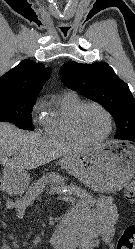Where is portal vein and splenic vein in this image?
I'll return each mask as SVG.
<instances>
[{
    "mask_svg": "<svg viewBox=\"0 0 135 249\" xmlns=\"http://www.w3.org/2000/svg\"><path fill=\"white\" fill-rule=\"evenodd\" d=\"M66 199L69 200V201H75L76 200L75 197H67Z\"/></svg>",
    "mask_w": 135,
    "mask_h": 249,
    "instance_id": "18ae733b",
    "label": "portal vein and splenic vein"
}]
</instances>
